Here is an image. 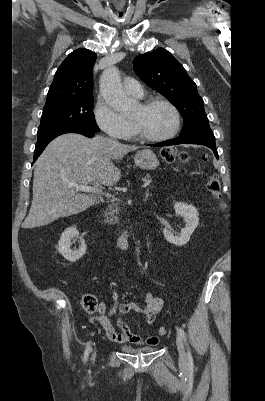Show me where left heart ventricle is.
Masks as SVG:
<instances>
[{
    "mask_svg": "<svg viewBox=\"0 0 265 401\" xmlns=\"http://www.w3.org/2000/svg\"><path fill=\"white\" fill-rule=\"evenodd\" d=\"M132 121L135 122L141 133L149 136L167 134L175 127L173 112L162 104L144 108L141 104L136 108Z\"/></svg>",
    "mask_w": 265,
    "mask_h": 401,
    "instance_id": "b2bd125f",
    "label": "left heart ventricle"
}]
</instances>
